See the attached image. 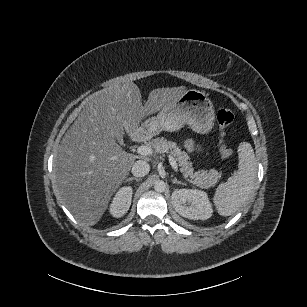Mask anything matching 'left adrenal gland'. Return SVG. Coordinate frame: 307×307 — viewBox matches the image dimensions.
Listing matches in <instances>:
<instances>
[{"mask_svg":"<svg viewBox=\"0 0 307 307\" xmlns=\"http://www.w3.org/2000/svg\"><path fill=\"white\" fill-rule=\"evenodd\" d=\"M172 182H173L174 184H181V185L186 186V183L177 180V178L172 179Z\"/></svg>","mask_w":307,"mask_h":307,"instance_id":"left-adrenal-gland-1","label":"left adrenal gland"}]
</instances>
